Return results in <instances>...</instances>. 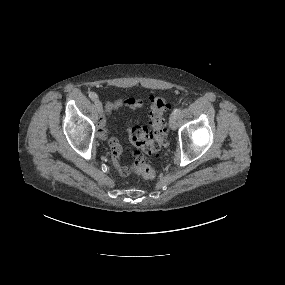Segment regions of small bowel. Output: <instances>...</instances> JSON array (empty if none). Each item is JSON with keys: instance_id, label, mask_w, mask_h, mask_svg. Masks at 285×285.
<instances>
[{"instance_id": "1", "label": "small bowel", "mask_w": 285, "mask_h": 285, "mask_svg": "<svg viewBox=\"0 0 285 285\" xmlns=\"http://www.w3.org/2000/svg\"><path fill=\"white\" fill-rule=\"evenodd\" d=\"M144 105V101L139 98L133 97H121L114 101H107L105 104V111L103 116L101 117L100 127L98 129V137L100 139H107L109 136V131L105 128L104 123L106 118L112 116L115 112H117L122 107L128 108H141ZM109 144L111 147V154H112V163L118 173L122 176H126L130 173V169L123 165L120 161L121 156V146L117 139L110 138Z\"/></svg>"}]
</instances>
